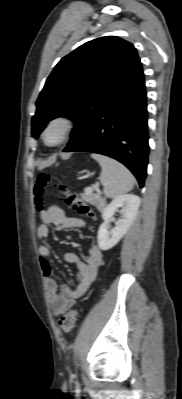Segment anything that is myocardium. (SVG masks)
I'll use <instances>...</instances> for the list:
<instances>
[{
  "mask_svg": "<svg viewBox=\"0 0 182 399\" xmlns=\"http://www.w3.org/2000/svg\"><path fill=\"white\" fill-rule=\"evenodd\" d=\"M56 125L61 127L62 136L56 143L50 144L46 140V134L51 127L56 126ZM75 127H76L75 120L71 116L66 115V114L56 115L47 121V123L42 131L43 142L45 143V145H47L49 147H56V146L62 145L72 136V134L75 130Z\"/></svg>",
  "mask_w": 182,
  "mask_h": 399,
  "instance_id": "f54148a6",
  "label": "myocardium"
}]
</instances>
